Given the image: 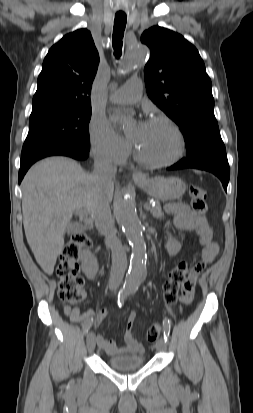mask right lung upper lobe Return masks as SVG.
<instances>
[{"mask_svg": "<svg viewBox=\"0 0 253 413\" xmlns=\"http://www.w3.org/2000/svg\"><path fill=\"white\" fill-rule=\"evenodd\" d=\"M98 64L99 54L87 29L65 35L43 61L32 112L55 107L91 106V86Z\"/></svg>", "mask_w": 253, "mask_h": 413, "instance_id": "1", "label": "right lung upper lobe"}]
</instances>
